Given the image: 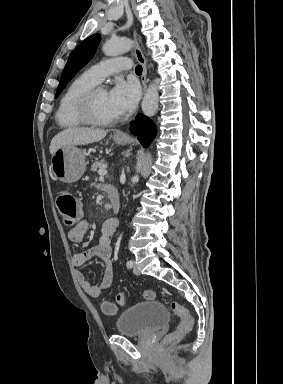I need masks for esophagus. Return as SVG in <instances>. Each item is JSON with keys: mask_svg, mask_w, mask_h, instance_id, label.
Here are the masks:
<instances>
[{"mask_svg": "<svg viewBox=\"0 0 283 384\" xmlns=\"http://www.w3.org/2000/svg\"><path fill=\"white\" fill-rule=\"evenodd\" d=\"M134 40H135L134 53H135V56H136L138 62L142 65L141 82H142L143 90H144V92H146V90H147V81H146L147 67H146V60H145V57H144V55L142 53V50L140 49V46L138 44L136 31H134ZM115 136L123 137V138L127 137V135L124 132H121V131H117L115 133Z\"/></svg>", "mask_w": 283, "mask_h": 384, "instance_id": "esophagus-1", "label": "esophagus"}]
</instances>
